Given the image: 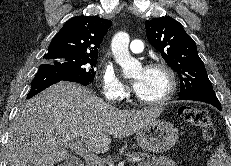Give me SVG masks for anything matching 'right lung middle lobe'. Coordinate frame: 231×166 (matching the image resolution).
Here are the masks:
<instances>
[{
    "instance_id": "dd1d6c3e",
    "label": "right lung middle lobe",
    "mask_w": 231,
    "mask_h": 166,
    "mask_svg": "<svg viewBox=\"0 0 231 166\" xmlns=\"http://www.w3.org/2000/svg\"><path fill=\"white\" fill-rule=\"evenodd\" d=\"M43 64H49L68 72L82 76L89 82H93L96 72L97 57L87 55H56L47 53Z\"/></svg>"
}]
</instances>
